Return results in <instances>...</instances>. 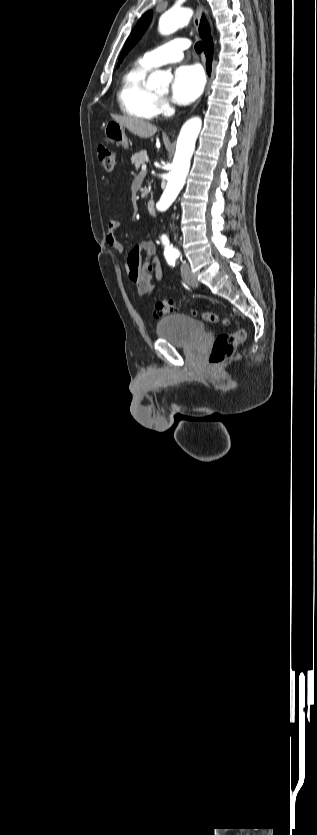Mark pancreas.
Masks as SVG:
<instances>
[{
    "instance_id": "pancreas-1",
    "label": "pancreas",
    "mask_w": 317,
    "mask_h": 835,
    "mask_svg": "<svg viewBox=\"0 0 317 835\" xmlns=\"http://www.w3.org/2000/svg\"><path fill=\"white\" fill-rule=\"evenodd\" d=\"M147 161H148V157H147V152H146L145 150H142V151H141V152H139V153H135V154H134V155H132V157H131V162H132V164L134 165V167H135V169H136V170H138V169L140 168V166H141V165H143V164H145V162H147ZM142 174H144V171H142ZM147 193H148V190H147V189H145V190L142 192L141 197H142V198L146 197V196H147Z\"/></svg>"
}]
</instances>
